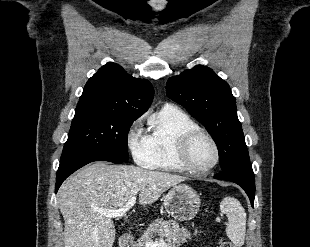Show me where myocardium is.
Wrapping results in <instances>:
<instances>
[{
  "instance_id": "f54148a6",
  "label": "myocardium",
  "mask_w": 310,
  "mask_h": 247,
  "mask_svg": "<svg viewBox=\"0 0 310 247\" xmlns=\"http://www.w3.org/2000/svg\"><path fill=\"white\" fill-rule=\"evenodd\" d=\"M199 137L206 138L212 144L214 151H215V159L213 163L204 168H196L191 164V161H190L191 146L193 142ZM178 158L184 170L194 175H202V174H205L211 171L213 168L217 166V164L220 161V149H219V146L216 140L209 133H207L206 131L200 128L192 129V130H189L183 133L179 139Z\"/></svg>"
}]
</instances>
